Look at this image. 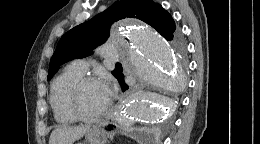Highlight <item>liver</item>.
Wrapping results in <instances>:
<instances>
[{
  "mask_svg": "<svg viewBox=\"0 0 260 144\" xmlns=\"http://www.w3.org/2000/svg\"><path fill=\"white\" fill-rule=\"evenodd\" d=\"M89 130V126H60L52 131L49 144H73Z\"/></svg>",
  "mask_w": 260,
  "mask_h": 144,
  "instance_id": "obj_1",
  "label": "liver"
}]
</instances>
